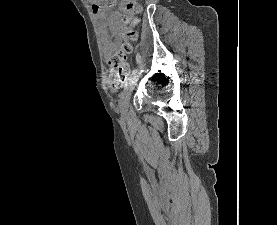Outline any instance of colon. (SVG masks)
<instances>
[{"instance_id":"5ec220e1","label":"colon","mask_w":277,"mask_h":225,"mask_svg":"<svg viewBox=\"0 0 277 225\" xmlns=\"http://www.w3.org/2000/svg\"><path fill=\"white\" fill-rule=\"evenodd\" d=\"M140 10L141 7L135 0H128L122 19L125 24L130 26V28L125 34L126 40L121 44L120 48L111 56L109 60L111 69L110 78L111 82L114 84H121L124 82L130 73L128 57L133 51L132 42L137 36L134 26L138 23L136 14H138Z\"/></svg>"}]
</instances>
